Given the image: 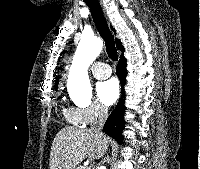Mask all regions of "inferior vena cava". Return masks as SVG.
<instances>
[{"label":"inferior vena cava","mask_w":200,"mask_h":169,"mask_svg":"<svg viewBox=\"0 0 200 169\" xmlns=\"http://www.w3.org/2000/svg\"><path fill=\"white\" fill-rule=\"evenodd\" d=\"M108 117V109L105 106L99 105L98 107V121L96 124L91 126L90 130L94 131L98 135H103L102 129L104 126V123Z\"/></svg>","instance_id":"obj_1"}]
</instances>
